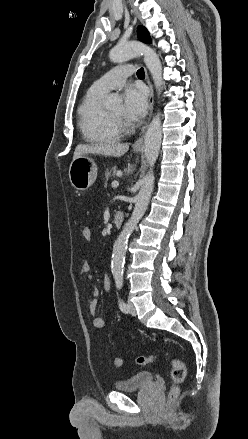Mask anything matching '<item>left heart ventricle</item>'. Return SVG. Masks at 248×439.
Wrapping results in <instances>:
<instances>
[{"instance_id": "left-heart-ventricle-1", "label": "left heart ventricle", "mask_w": 248, "mask_h": 439, "mask_svg": "<svg viewBox=\"0 0 248 439\" xmlns=\"http://www.w3.org/2000/svg\"><path fill=\"white\" fill-rule=\"evenodd\" d=\"M106 114L115 119H123V108L121 105H117L114 108L107 111Z\"/></svg>"}]
</instances>
